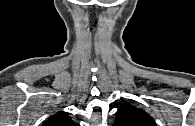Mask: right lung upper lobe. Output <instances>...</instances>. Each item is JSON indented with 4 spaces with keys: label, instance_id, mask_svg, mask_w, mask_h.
<instances>
[{
    "label": "right lung upper lobe",
    "instance_id": "right-lung-upper-lobe-1",
    "mask_svg": "<svg viewBox=\"0 0 195 126\" xmlns=\"http://www.w3.org/2000/svg\"><path fill=\"white\" fill-rule=\"evenodd\" d=\"M43 126H78L67 112H58L51 116Z\"/></svg>",
    "mask_w": 195,
    "mask_h": 126
}]
</instances>
